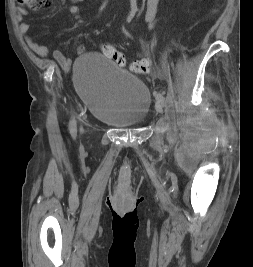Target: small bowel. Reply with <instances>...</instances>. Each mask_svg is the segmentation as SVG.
Instances as JSON below:
<instances>
[{
	"label": "small bowel",
	"instance_id": "c3829d8e",
	"mask_svg": "<svg viewBox=\"0 0 253 267\" xmlns=\"http://www.w3.org/2000/svg\"><path fill=\"white\" fill-rule=\"evenodd\" d=\"M74 4L70 6V12L72 14H77L81 10L80 3L84 2L85 0H71ZM159 0H147V6H146V14L145 19L147 23L149 24V27H153L156 22V13H157V6H158ZM30 30V24L28 22H22L20 24V31L24 34L25 41L28 45V47L34 51L39 56L45 57L48 54V48L43 45H39L33 37L29 34ZM86 48L84 45H79L77 47L78 54H83L85 52ZM54 57L57 60V62L62 66H67L69 64V61L66 59V57L60 52L59 50L54 51Z\"/></svg>",
	"mask_w": 253,
	"mask_h": 267
}]
</instances>
